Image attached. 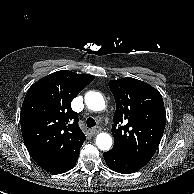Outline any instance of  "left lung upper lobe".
<instances>
[{
	"instance_id": "1",
	"label": "left lung upper lobe",
	"mask_w": 194,
	"mask_h": 194,
	"mask_svg": "<svg viewBox=\"0 0 194 194\" xmlns=\"http://www.w3.org/2000/svg\"><path fill=\"white\" fill-rule=\"evenodd\" d=\"M116 101L114 125L115 144L112 150L147 164L155 154L162 138L166 112L161 94L151 85L134 79L109 81Z\"/></svg>"
}]
</instances>
